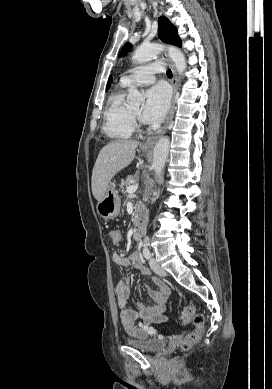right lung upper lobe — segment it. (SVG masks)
I'll return each mask as SVG.
<instances>
[{"label": "right lung upper lobe", "instance_id": "cb5924a9", "mask_svg": "<svg viewBox=\"0 0 272 389\" xmlns=\"http://www.w3.org/2000/svg\"><path fill=\"white\" fill-rule=\"evenodd\" d=\"M111 82H112V77L110 76L109 80H108V83H107V86H106V91L109 89V87L111 85Z\"/></svg>", "mask_w": 272, "mask_h": 389}]
</instances>
